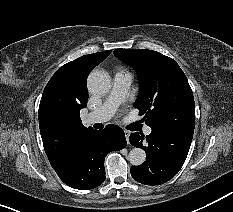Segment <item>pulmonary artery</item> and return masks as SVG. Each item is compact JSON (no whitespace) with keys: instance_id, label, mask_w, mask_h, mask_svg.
Here are the masks:
<instances>
[{"instance_id":"pulmonary-artery-1","label":"pulmonary artery","mask_w":233,"mask_h":212,"mask_svg":"<svg viewBox=\"0 0 233 212\" xmlns=\"http://www.w3.org/2000/svg\"><path fill=\"white\" fill-rule=\"evenodd\" d=\"M131 83L132 76L129 73L124 71L117 72L113 78L110 94L99 108L86 115L85 121L92 124L109 120L114 115L118 106L125 102ZM151 131L150 127L144 129L146 135H149Z\"/></svg>"}]
</instances>
